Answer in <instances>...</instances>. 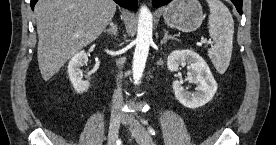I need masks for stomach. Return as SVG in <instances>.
<instances>
[{
  "label": "stomach",
  "instance_id": "obj_1",
  "mask_svg": "<svg viewBox=\"0 0 276 145\" xmlns=\"http://www.w3.org/2000/svg\"><path fill=\"white\" fill-rule=\"evenodd\" d=\"M163 18L170 27L191 32L200 27L204 15L198 0H173L165 8Z\"/></svg>",
  "mask_w": 276,
  "mask_h": 145
}]
</instances>
